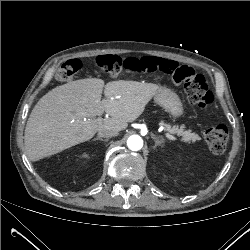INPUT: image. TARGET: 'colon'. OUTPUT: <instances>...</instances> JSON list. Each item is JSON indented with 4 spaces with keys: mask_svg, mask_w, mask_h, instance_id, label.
Returning <instances> with one entry per match:
<instances>
[{
    "mask_svg": "<svg viewBox=\"0 0 250 250\" xmlns=\"http://www.w3.org/2000/svg\"><path fill=\"white\" fill-rule=\"evenodd\" d=\"M97 65L101 71L109 76L116 77L122 73L133 72H170L177 84H183L188 101L202 109L211 108L214 96L208 89L205 76L189 66L177 67L167 59L156 58H125L114 55H106L97 58ZM81 62L71 59L61 65L56 72L57 80L70 81L80 70ZM205 141L209 149L214 153H222L228 142V129L225 125L218 124L206 129Z\"/></svg>",
    "mask_w": 250,
    "mask_h": 250,
    "instance_id": "1",
    "label": "colon"
}]
</instances>
